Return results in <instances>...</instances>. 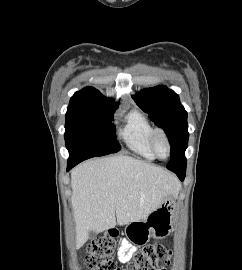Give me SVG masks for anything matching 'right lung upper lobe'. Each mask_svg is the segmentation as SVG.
<instances>
[{"label":"right lung upper lobe","instance_id":"cb5924a9","mask_svg":"<svg viewBox=\"0 0 242 270\" xmlns=\"http://www.w3.org/2000/svg\"><path fill=\"white\" fill-rule=\"evenodd\" d=\"M117 106V103L102 96L97 89L86 87L71 97L67 112H94Z\"/></svg>","mask_w":242,"mask_h":270}]
</instances>
